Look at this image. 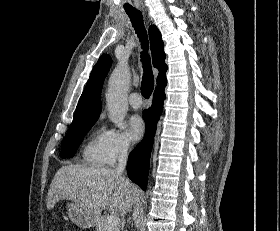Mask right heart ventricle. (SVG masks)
Returning <instances> with one entry per match:
<instances>
[{
    "mask_svg": "<svg viewBox=\"0 0 280 231\" xmlns=\"http://www.w3.org/2000/svg\"><path fill=\"white\" fill-rule=\"evenodd\" d=\"M101 135L94 131L87 139L82 152V163L90 167H101L105 164V158L101 146Z\"/></svg>",
    "mask_w": 280,
    "mask_h": 231,
    "instance_id": "1",
    "label": "right heart ventricle"
}]
</instances>
